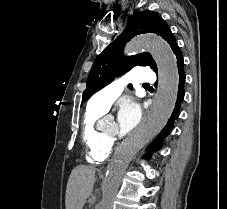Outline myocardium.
Segmentation results:
<instances>
[{"mask_svg":"<svg viewBox=\"0 0 227 209\" xmlns=\"http://www.w3.org/2000/svg\"><path fill=\"white\" fill-rule=\"evenodd\" d=\"M101 134H102L103 138L109 143H112V142L116 141L117 139L122 138V136L119 134H110L105 131H101Z\"/></svg>","mask_w":227,"mask_h":209,"instance_id":"myocardium-1","label":"myocardium"}]
</instances>
